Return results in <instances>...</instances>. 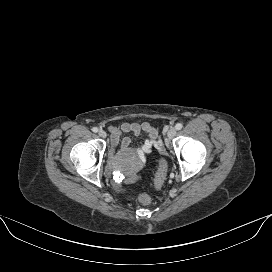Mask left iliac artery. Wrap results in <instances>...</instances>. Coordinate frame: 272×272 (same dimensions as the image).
<instances>
[{
	"label": "left iliac artery",
	"instance_id": "1",
	"mask_svg": "<svg viewBox=\"0 0 272 272\" xmlns=\"http://www.w3.org/2000/svg\"><path fill=\"white\" fill-rule=\"evenodd\" d=\"M182 127H183V124H182V123H177L176 126H175V128H176L177 130H181Z\"/></svg>",
	"mask_w": 272,
	"mask_h": 272
}]
</instances>
